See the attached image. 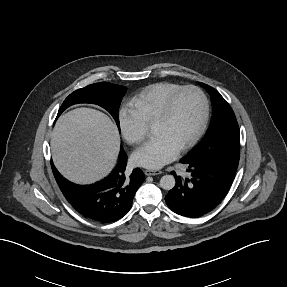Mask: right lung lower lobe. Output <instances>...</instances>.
<instances>
[{"mask_svg": "<svg viewBox=\"0 0 287 287\" xmlns=\"http://www.w3.org/2000/svg\"><path fill=\"white\" fill-rule=\"evenodd\" d=\"M127 155L121 147L118 163L105 179L92 185H76L66 180L52 165L54 177L68 202L84 217L111 223L128 213L137 189L144 181L142 170L125 173Z\"/></svg>", "mask_w": 287, "mask_h": 287, "instance_id": "obj_1", "label": "right lung lower lobe"}]
</instances>
